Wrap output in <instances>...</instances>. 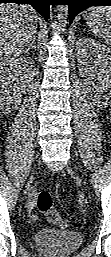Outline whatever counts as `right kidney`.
Instances as JSON below:
<instances>
[{"instance_id":"right-kidney-1","label":"right kidney","mask_w":111,"mask_h":257,"mask_svg":"<svg viewBox=\"0 0 111 257\" xmlns=\"http://www.w3.org/2000/svg\"><path fill=\"white\" fill-rule=\"evenodd\" d=\"M34 78V61L30 57H20L1 70V108L15 109Z\"/></svg>"}]
</instances>
